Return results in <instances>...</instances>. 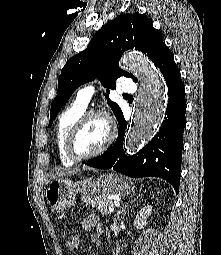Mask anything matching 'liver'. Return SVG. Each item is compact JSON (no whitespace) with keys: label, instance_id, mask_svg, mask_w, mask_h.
<instances>
[{"label":"liver","instance_id":"liver-1","mask_svg":"<svg viewBox=\"0 0 221 255\" xmlns=\"http://www.w3.org/2000/svg\"><path fill=\"white\" fill-rule=\"evenodd\" d=\"M80 170L79 169H58L55 174H53L50 179L60 178V177H68L72 176L74 174H77ZM49 182V180L46 182V184Z\"/></svg>","mask_w":221,"mask_h":255}]
</instances>
